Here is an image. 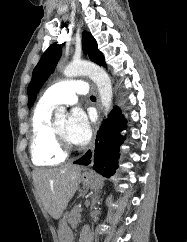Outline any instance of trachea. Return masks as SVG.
Here are the masks:
<instances>
[{
    "label": "trachea",
    "instance_id": "obj_1",
    "mask_svg": "<svg viewBox=\"0 0 187 242\" xmlns=\"http://www.w3.org/2000/svg\"><path fill=\"white\" fill-rule=\"evenodd\" d=\"M90 98H91V99H96V97H95V96H91Z\"/></svg>",
    "mask_w": 187,
    "mask_h": 242
}]
</instances>
